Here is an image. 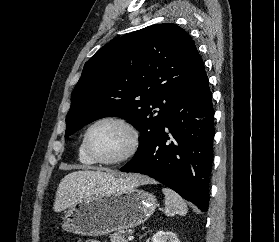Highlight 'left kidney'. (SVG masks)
<instances>
[{
    "instance_id": "obj_1",
    "label": "left kidney",
    "mask_w": 279,
    "mask_h": 242,
    "mask_svg": "<svg viewBox=\"0 0 279 242\" xmlns=\"http://www.w3.org/2000/svg\"><path fill=\"white\" fill-rule=\"evenodd\" d=\"M152 242H180V240L173 232L158 231L153 235Z\"/></svg>"
}]
</instances>
